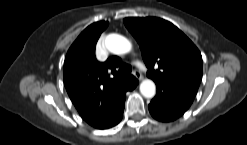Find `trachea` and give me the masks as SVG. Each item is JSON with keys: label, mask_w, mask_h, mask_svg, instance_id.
Instances as JSON below:
<instances>
[{"label": "trachea", "mask_w": 247, "mask_h": 145, "mask_svg": "<svg viewBox=\"0 0 247 145\" xmlns=\"http://www.w3.org/2000/svg\"><path fill=\"white\" fill-rule=\"evenodd\" d=\"M132 71V67L128 64L123 63L118 70L119 75H124L125 73L129 74Z\"/></svg>", "instance_id": "trachea-1"}]
</instances>
